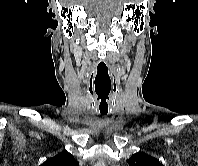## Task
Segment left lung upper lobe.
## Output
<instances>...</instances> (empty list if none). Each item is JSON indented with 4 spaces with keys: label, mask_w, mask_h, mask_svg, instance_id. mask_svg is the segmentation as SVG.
Returning <instances> with one entry per match:
<instances>
[{
    "label": "left lung upper lobe",
    "mask_w": 198,
    "mask_h": 166,
    "mask_svg": "<svg viewBox=\"0 0 198 166\" xmlns=\"http://www.w3.org/2000/svg\"><path fill=\"white\" fill-rule=\"evenodd\" d=\"M127 162L129 166H163L157 159L144 152L133 154Z\"/></svg>",
    "instance_id": "1"
}]
</instances>
